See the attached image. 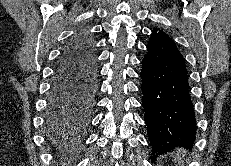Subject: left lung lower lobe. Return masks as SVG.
Returning a JSON list of instances; mask_svg holds the SVG:
<instances>
[{
	"mask_svg": "<svg viewBox=\"0 0 231 166\" xmlns=\"http://www.w3.org/2000/svg\"><path fill=\"white\" fill-rule=\"evenodd\" d=\"M140 75L152 153H167L177 146L192 147L196 119L188 72L176 44L162 30L152 31Z\"/></svg>",
	"mask_w": 231,
	"mask_h": 166,
	"instance_id": "obj_1",
	"label": "left lung lower lobe"
}]
</instances>
